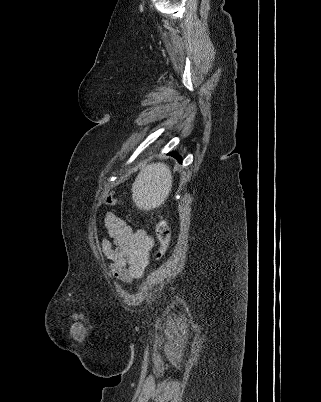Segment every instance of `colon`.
Segmentation results:
<instances>
[{
    "instance_id": "5ec220e1",
    "label": "colon",
    "mask_w": 321,
    "mask_h": 402,
    "mask_svg": "<svg viewBox=\"0 0 321 402\" xmlns=\"http://www.w3.org/2000/svg\"><path fill=\"white\" fill-rule=\"evenodd\" d=\"M105 202L107 205L114 206L118 204V199L113 195H108ZM154 221L158 240V250L156 253V258L159 260L162 259L168 251L170 245V231L165 220L156 217L154 218Z\"/></svg>"
}]
</instances>
